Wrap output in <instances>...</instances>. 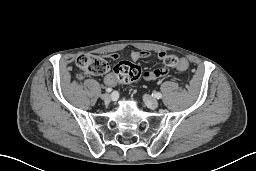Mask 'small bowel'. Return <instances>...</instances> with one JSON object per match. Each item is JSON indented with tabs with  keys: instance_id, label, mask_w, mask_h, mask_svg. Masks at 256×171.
Wrapping results in <instances>:
<instances>
[{
	"instance_id": "1",
	"label": "small bowel",
	"mask_w": 256,
	"mask_h": 171,
	"mask_svg": "<svg viewBox=\"0 0 256 171\" xmlns=\"http://www.w3.org/2000/svg\"><path fill=\"white\" fill-rule=\"evenodd\" d=\"M166 55L167 54L165 52H160V53H158V59L163 61V59ZM119 56L120 55L118 53H113L109 57L112 59H117V58H119ZM129 56L133 61H137V60H140L143 58L150 57V53H148L146 51H141V50H134V51L129 52ZM182 59L185 62V65L182 68L178 69L180 71H184L188 67L187 60L184 58H182ZM168 73H169V70L165 67H162V68H158V69H154V70H150V71H144L143 78L145 80H149V81H156V80H159V79L167 76ZM104 83L107 86H111V87L115 86L117 84L116 74H114V73L107 74L104 77Z\"/></svg>"
}]
</instances>
